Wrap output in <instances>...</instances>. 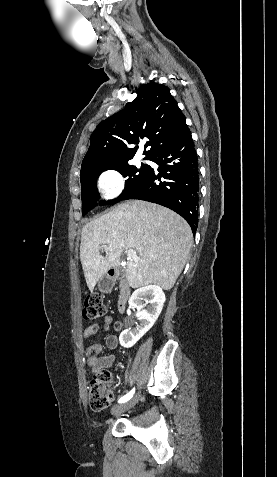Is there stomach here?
Returning <instances> with one entry per match:
<instances>
[{
	"label": "stomach",
	"instance_id": "stomach-1",
	"mask_svg": "<svg viewBox=\"0 0 277 477\" xmlns=\"http://www.w3.org/2000/svg\"><path fill=\"white\" fill-rule=\"evenodd\" d=\"M112 286L113 283L107 276H103L98 280V288L102 292L110 291Z\"/></svg>",
	"mask_w": 277,
	"mask_h": 477
}]
</instances>
